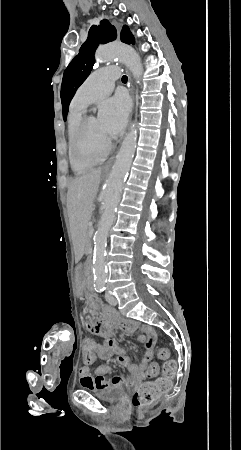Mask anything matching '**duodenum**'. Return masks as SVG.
I'll use <instances>...</instances> for the list:
<instances>
[{"label": "duodenum", "instance_id": "obj_1", "mask_svg": "<svg viewBox=\"0 0 241 450\" xmlns=\"http://www.w3.org/2000/svg\"><path fill=\"white\" fill-rule=\"evenodd\" d=\"M86 281L85 286L88 291L93 290V261L92 259H88L86 261Z\"/></svg>", "mask_w": 241, "mask_h": 450}]
</instances>
